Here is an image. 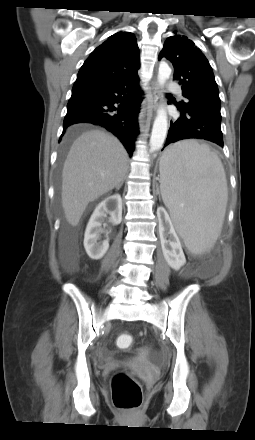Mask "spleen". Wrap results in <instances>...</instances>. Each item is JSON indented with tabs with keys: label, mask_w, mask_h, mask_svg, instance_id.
I'll return each instance as SVG.
<instances>
[{
	"label": "spleen",
	"mask_w": 255,
	"mask_h": 440,
	"mask_svg": "<svg viewBox=\"0 0 255 440\" xmlns=\"http://www.w3.org/2000/svg\"><path fill=\"white\" fill-rule=\"evenodd\" d=\"M166 160L161 195L175 228L189 251H209L219 237L228 200L221 160L208 145L194 141L167 149Z\"/></svg>",
	"instance_id": "1"
}]
</instances>
